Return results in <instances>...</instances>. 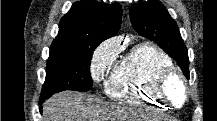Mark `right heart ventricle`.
<instances>
[{
	"label": "right heart ventricle",
	"mask_w": 217,
	"mask_h": 121,
	"mask_svg": "<svg viewBox=\"0 0 217 121\" xmlns=\"http://www.w3.org/2000/svg\"><path fill=\"white\" fill-rule=\"evenodd\" d=\"M172 68L171 58L150 42L135 45L116 64L105 83V91L112 99L164 110L168 105L158 96L157 77Z\"/></svg>",
	"instance_id": "1"
}]
</instances>
